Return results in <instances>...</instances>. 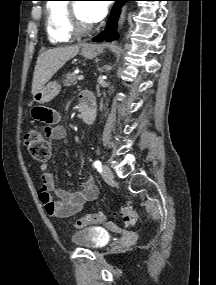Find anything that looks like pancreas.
<instances>
[{
  "label": "pancreas",
  "instance_id": "cf45deb5",
  "mask_svg": "<svg viewBox=\"0 0 216 285\" xmlns=\"http://www.w3.org/2000/svg\"><path fill=\"white\" fill-rule=\"evenodd\" d=\"M78 76L73 72H68L66 74L65 80L63 81L64 86H71L72 84H77Z\"/></svg>",
  "mask_w": 216,
  "mask_h": 285
}]
</instances>
